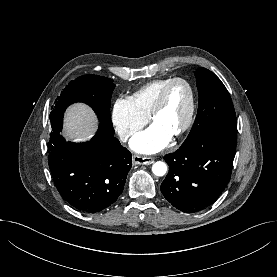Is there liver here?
<instances>
[{
	"label": "liver",
	"mask_w": 277,
	"mask_h": 277,
	"mask_svg": "<svg viewBox=\"0 0 277 277\" xmlns=\"http://www.w3.org/2000/svg\"><path fill=\"white\" fill-rule=\"evenodd\" d=\"M97 129L94 111L84 103L68 107L64 118V136L75 142L87 141Z\"/></svg>",
	"instance_id": "1"
}]
</instances>
